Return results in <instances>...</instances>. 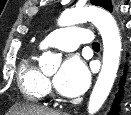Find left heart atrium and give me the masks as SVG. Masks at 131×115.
Here are the masks:
<instances>
[{"label": "left heart atrium", "instance_id": "1", "mask_svg": "<svg viewBox=\"0 0 131 115\" xmlns=\"http://www.w3.org/2000/svg\"><path fill=\"white\" fill-rule=\"evenodd\" d=\"M89 82L90 73L84 62L77 57H69L55 76L53 84L60 94L74 97L82 94Z\"/></svg>", "mask_w": 131, "mask_h": 115}]
</instances>
